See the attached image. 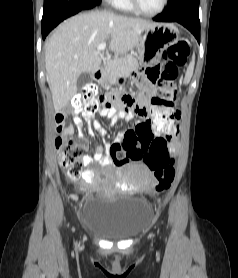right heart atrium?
I'll return each instance as SVG.
<instances>
[{
  "label": "right heart atrium",
  "instance_id": "right-heart-atrium-1",
  "mask_svg": "<svg viewBox=\"0 0 238 278\" xmlns=\"http://www.w3.org/2000/svg\"><path fill=\"white\" fill-rule=\"evenodd\" d=\"M106 1H108L109 3H111L113 5H116L118 2V0H106Z\"/></svg>",
  "mask_w": 238,
  "mask_h": 278
}]
</instances>
